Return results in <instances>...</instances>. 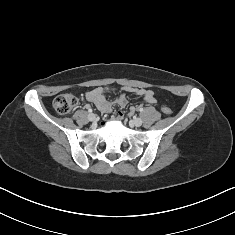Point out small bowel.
<instances>
[{"instance_id": "small-bowel-1", "label": "small bowel", "mask_w": 235, "mask_h": 235, "mask_svg": "<svg viewBox=\"0 0 235 235\" xmlns=\"http://www.w3.org/2000/svg\"><path fill=\"white\" fill-rule=\"evenodd\" d=\"M107 88L98 87L92 89L85 94L86 100L92 102L97 109L102 113H109L112 108V103L106 99ZM126 91L132 92L137 96L142 97L147 103L154 104L156 103V97L152 90L143 89V88H126ZM120 107H125L127 104V98L125 94H120L115 101ZM134 108H131L130 111L134 112ZM119 116H122V113H119Z\"/></svg>"}]
</instances>
